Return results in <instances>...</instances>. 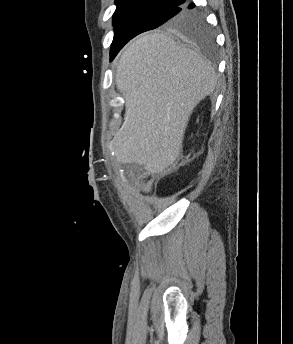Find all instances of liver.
Segmentation results:
<instances>
[{"label":"liver","mask_w":293,"mask_h":344,"mask_svg":"<svg viewBox=\"0 0 293 344\" xmlns=\"http://www.w3.org/2000/svg\"><path fill=\"white\" fill-rule=\"evenodd\" d=\"M115 79L125 121L111 149L119 163L159 174L179 157L193 109L216 88L215 69L170 36L151 33L125 49Z\"/></svg>","instance_id":"liver-1"}]
</instances>
